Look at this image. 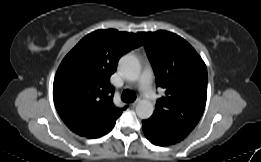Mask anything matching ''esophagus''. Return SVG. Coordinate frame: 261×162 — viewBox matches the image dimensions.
<instances>
[{"label":"esophagus","instance_id":"34e87169","mask_svg":"<svg viewBox=\"0 0 261 162\" xmlns=\"http://www.w3.org/2000/svg\"><path fill=\"white\" fill-rule=\"evenodd\" d=\"M137 104H138V101H135V102L131 103L130 106L134 108L137 106Z\"/></svg>","mask_w":261,"mask_h":162}]
</instances>
